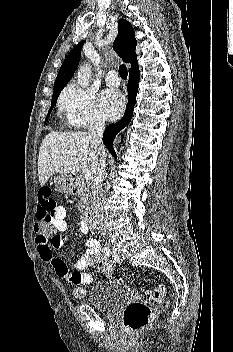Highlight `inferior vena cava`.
<instances>
[{
	"label": "inferior vena cava",
	"instance_id": "inferior-vena-cava-1",
	"mask_svg": "<svg viewBox=\"0 0 233 352\" xmlns=\"http://www.w3.org/2000/svg\"><path fill=\"white\" fill-rule=\"evenodd\" d=\"M105 129V121L103 117L94 114L89 126V139L96 143L99 147L102 146V136ZM106 163L105 158L102 156L94 172V183L92 190L94 219L98 225L101 234L105 235L104 229V213L102 208V184L103 174L105 171Z\"/></svg>",
	"mask_w": 233,
	"mask_h": 352
}]
</instances>
